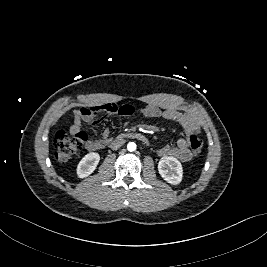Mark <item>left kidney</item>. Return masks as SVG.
Listing matches in <instances>:
<instances>
[{
  "mask_svg": "<svg viewBox=\"0 0 267 267\" xmlns=\"http://www.w3.org/2000/svg\"><path fill=\"white\" fill-rule=\"evenodd\" d=\"M158 171L161 177L172 185H177L182 181L183 168L174 157H162L158 163Z\"/></svg>",
  "mask_w": 267,
  "mask_h": 267,
  "instance_id": "obj_1",
  "label": "left kidney"
}]
</instances>
